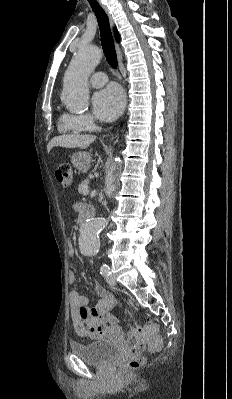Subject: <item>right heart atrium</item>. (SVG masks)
Here are the masks:
<instances>
[{"instance_id": "obj_1", "label": "right heart atrium", "mask_w": 232, "mask_h": 399, "mask_svg": "<svg viewBox=\"0 0 232 399\" xmlns=\"http://www.w3.org/2000/svg\"><path fill=\"white\" fill-rule=\"evenodd\" d=\"M67 104H77V103H67ZM83 127L87 130H91L94 127V120L93 117L89 114L84 115H73Z\"/></svg>"}]
</instances>
